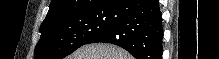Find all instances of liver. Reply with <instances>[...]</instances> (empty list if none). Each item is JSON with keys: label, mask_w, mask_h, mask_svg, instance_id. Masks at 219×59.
<instances>
[{"label": "liver", "mask_w": 219, "mask_h": 59, "mask_svg": "<svg viewBox=\"0 0 219 59\" xmlns=\"http://www.w3.org/2000/svg\"><path fill=\"white\" fill-rule=\"evenodd\" d=\"M66 59H133L127 51L110 44H88Z\"/></svg>", "instance_id": "liver-1"}]
</instances>
